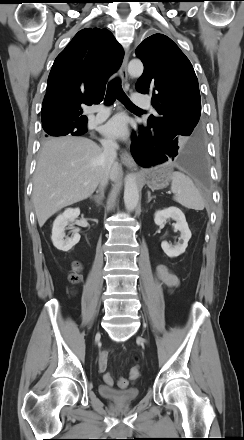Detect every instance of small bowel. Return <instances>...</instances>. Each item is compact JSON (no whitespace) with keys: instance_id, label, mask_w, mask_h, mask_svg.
<instances>
[{"instance_id":"1","label":"small bowel","mask_w":244,"mask_h":440,"mask_svg":"<svg viewBox=\"0 0 244 440\" xmlns=\"http://www.w3.org/2000/svg\"><path fill=\"white\" fill-rule=\"evenodd\" d=\"M157 275L159 280L168 288H173L178 286L179 279L178 277L165 265L157 266ZM107 352L103 351L100 353L98 358V368L101 373L105 372L107 369Z\"/></svg>"}]
</instances>
